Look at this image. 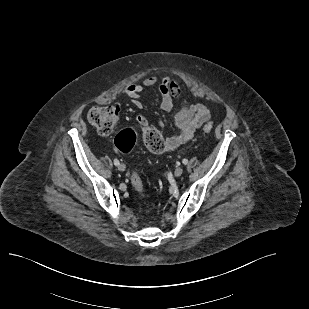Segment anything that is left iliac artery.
<instances>
[{
	"label": "left iliac artery",
	"mask_w": 309,
	"mask_h": 309,
	"mask_svg": "<svg viewBox=\"0 0 309 309\" xmlns=\"http://www.w3.org/2000/svg\"><path fill=\"white\" fill-rule=\"evenodd\" d=\"M182 163L186 165L188 163V160L187 159H183Z\"/></svg>",
	"instance_id": "left-iliac-artery-1"
}]
</instances>
